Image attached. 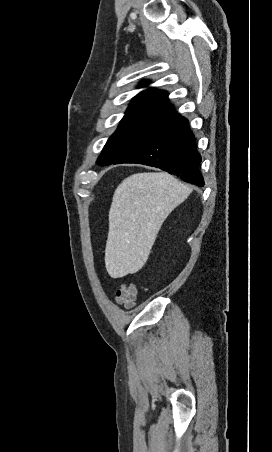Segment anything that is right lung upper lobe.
<instances>
[{
	"instance_id": "1",
	"label": "right lung upper lobe",
	"mask_w": 272,
	"mask_h": 452,
	"mask_svg": "<svg viewBox=\"0 0 272 452\" xmlns=\"http://www.w3.org/2000/svg\"><path fill=\"white\" fill-rule=\"evenodd\" d=\"M142 85H148L144 81ZM166 91L149 88L139 93L128 107L126 114H156L164 115L175 112V109L168 102Z\"/></svg>"
}]
</instances>
